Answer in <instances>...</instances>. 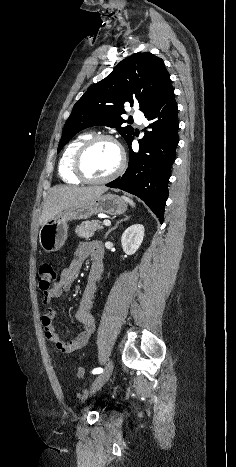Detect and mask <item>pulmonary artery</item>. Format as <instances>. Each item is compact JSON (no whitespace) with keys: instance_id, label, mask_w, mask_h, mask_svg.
<instances>
[{"instance_id":"pulmonary-artery-1","label":"pulmonary artery","mask_w":236,"mask_h":467,"mask_svg":"<svg viewBox=\"0 0 236 467\" xmlns=\"http://www.w3.org/2000/svg\"><path fill=\"white\" fill-rule=\"evenodd\" d=\"M133 116L139 123H142L145 120L144 114L138 108L135 109Z\"/></svg>"}]
</instances>
